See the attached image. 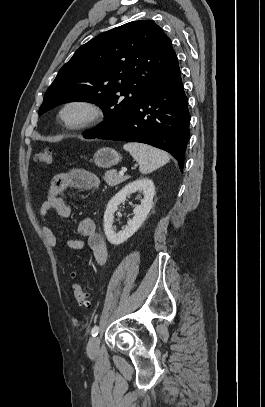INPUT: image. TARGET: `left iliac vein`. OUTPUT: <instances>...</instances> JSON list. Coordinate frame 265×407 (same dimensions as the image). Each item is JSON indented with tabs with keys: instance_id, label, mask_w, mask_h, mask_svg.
<instances>
[{
	"instance_id": "obj_1",
	"label": "left iliac vein",
	"mask_w": 265,
	"mask_h": 407,
	"mask_svg": "<svg viewBox=\"0 0 265 407\" xmlns=\"http://www.w3.org/2000/svg\"><path fill=\"white\" fill-rule=\"evenodd\" d=\"M100 339L98 336L91 337L87 346V353L89 356L97 354L99 349Z\"/></svg>"
}]
</instances>
